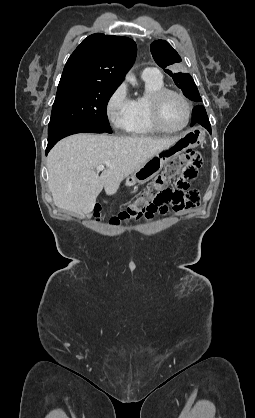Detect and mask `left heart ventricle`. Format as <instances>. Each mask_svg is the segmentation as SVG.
<instances>
[{"label":"left heart ventricle","mask_w":255,"mask_h":418,"mask_svg":"<svg viewBox=\"0 0 255 418\" xmlns=\"http://www.w3.org/2000/svg\"><path fill=\"white\" fill-rule=\"evenodd\" d=\"M184 102L176 95H168L162 103L161 117L165 126L178 128L186 119Z\"/></svg>","instance_id":"left-heart-ventricle-1"}]
</instances>
